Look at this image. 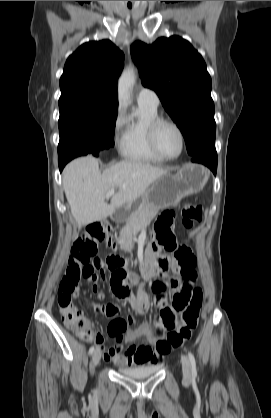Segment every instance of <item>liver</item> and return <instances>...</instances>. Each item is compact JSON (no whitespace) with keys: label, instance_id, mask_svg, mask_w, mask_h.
Listing matches in <instances>:
<instances>
[{"label":"liver","instance_id":"1","mask_svg":"<svg viewBox=\"0 0 271 418\" xmlns=\"http://www.w3.org/2000/svg\"><path fill=\"white\" fill-rule=\"evenodd\" d=\"M168 172V169L130 160L101 172L98 159L86 156L65 167L63 189L80 229L82 225L105 219L116 209L136 201L156 179ZM113 188L119 190L108 204L106 193Z\"/></svg>","mask_w":271,"mask_h":418}]
</instances>
